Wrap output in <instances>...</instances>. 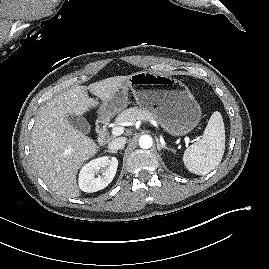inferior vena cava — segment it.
Segmentation results:
<instances>
[{"label": "inferior vena cava", "instance_id": "inferior-vena-cava-1", "mask_svg": "<svg viewBox=\"0 0 269 269\" xmlns=\"http://www.w3.org/2000/svg\"><path fill=\"white\" fill-rule=\"evenodd\" d=\"M126 143V138L125 137H119L114 140H112L109 144L108 147L110 150L117 151L120 149H123L124 145Z\"/></svg>", "mask_w": 269, "mask_h": 269}]
</instances>
